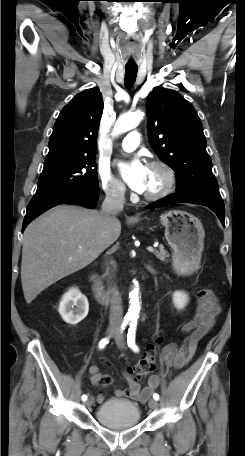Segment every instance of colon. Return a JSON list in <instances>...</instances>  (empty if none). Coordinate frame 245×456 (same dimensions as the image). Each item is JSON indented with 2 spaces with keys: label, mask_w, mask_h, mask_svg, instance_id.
<instances>
[{
  "label": "colon",
  "mask_w": 245,
  "mask_h": 456,
  "mask_svg": "<svg viewBox=\"0 0 245 456\" xmlns=\"http://www.w3.org/2000/svg\"><path fill=\"white\" fill-rule=\"evenodd\" d=\"M161 343L162 336L159 332H156L153 342L147 346L145 355L130 369V373L136 380L147 376L155 369L158 348Z\"/></svg>",
  "instance_id": "1"
}]
</instances>
